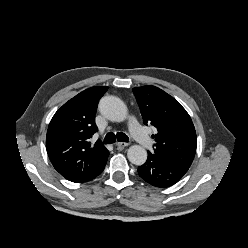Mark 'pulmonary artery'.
<instances>
[{
  "label": "pulmonary artery",
  "instance_id": "e3ab8cb5",
  "mask_svg": "<svg viewBox=\"0 0 248 248\" xmlns=\"http://www.w3.org/2000/svg\"><path fill=\"white\" fill-rule=\"evenodd\" d=\"M129 128L132 136L139 142V144L144 148H149L152 145L151 139L140 127L134 118H131L129 122Z\"/></svg>",
  "mask_w": 248,
  "mask_h": 248
}]
</instances>
